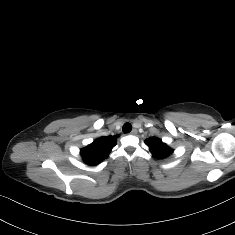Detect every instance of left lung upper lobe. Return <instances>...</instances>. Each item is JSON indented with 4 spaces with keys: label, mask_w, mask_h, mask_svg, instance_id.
<instances>
[{
    "label": "left lung upper lobe",
    "mask_w": 235,
    "mask_h": 235,
    "mask_svg": "<svg viewBox=\"0 0 235 235\" xmlns=\"http://www.w3.org/2000/svg\"><path fill=\"white\" fill-rule=\"evenodd\" d=\"M149 147L153 157L157 159H163L172 154L173 150L162 142L161 139L156 137H150L145 141Z\"/></svg>",
    "instance_id": "1"
}]
</instances>
